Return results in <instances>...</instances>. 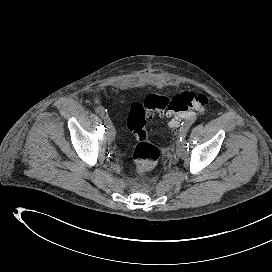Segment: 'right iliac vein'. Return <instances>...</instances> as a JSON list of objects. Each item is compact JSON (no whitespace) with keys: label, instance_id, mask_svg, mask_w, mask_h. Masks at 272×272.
Wrapping results in <instances>:
<instances>
[{"label":"right iliac vein","instance_id":"1","mask_svg":"<svg viewBox=\"0 0 272 272\" xmlns=\"http://www.w3.org/2000/svg\"><path fill=\"white\" fill-rule=\"evenodd\" d=\"M104 123H105L106 128H107L106 134H107L108 138L109 139H114L116 131H115V128H114L113 123H112L111 119L109 118V116H106L104 118Z\"/></svg>","mask_w":272,"mask_h":272}]
</instances>
